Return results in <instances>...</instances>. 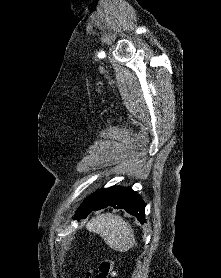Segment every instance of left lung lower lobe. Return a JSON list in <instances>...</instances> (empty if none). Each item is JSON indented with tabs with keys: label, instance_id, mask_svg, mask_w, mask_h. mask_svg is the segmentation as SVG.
I'll return each mask as SVG.
<instances>
[{
	"label": "left lung lower lobe",
	"instance_id": "1",
	"mask_svg": "<svg viewBox=\"0 0 221 278\" xmlns=\"http://www.w3.org/2000/svg\"><path fill=\"white\" fill-rule=\"evenodd\" d=\"M107 206L115 209H124L128 213L136 216L143 224L145 222V204L142 198L130 187H110L101 189L88 196L80 205L75 219L86 218L93 210H100Z\"/></svg>",
	"mask_w": 221,
	"mask_h": 278
}]
</instances>
